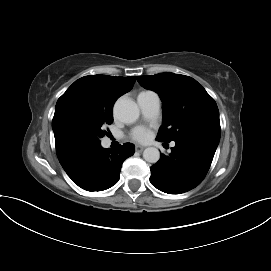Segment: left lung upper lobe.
<instances>
[{
	"mask_svg": "<svg viewBox=\"0 0 271 271\" xmlns=\"http://www.w3.org/2000/svg\"><path fill=\"white\" fill-rule=\"evenodd\" d=\"M145 89L157 92L162 100L163 125L157 139L170 142L185 137L219 143L221 128L214 99L195 79L174 73L139 76Z\"/></svg>",
	"mask_w": 271,
	"mask_h": 271,
	"instance_id": "obj_1",
	"label": "left lung upper lobe"
}]
</instances>
